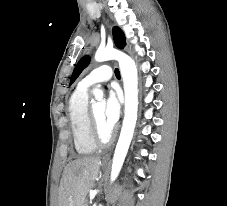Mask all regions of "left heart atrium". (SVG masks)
Returning a JSON list of instances; mask_svg holds the SVG:
<instances>
[{"mask_svg":"<svg viewBox=\"0 0 227 206\" xmlns=\"http://www.w3.org/2000/svg\"><path fill=\"white\" fill-rule=\"evenodd\" d=\"M121 112V97L117 91H111L104 107V121L112 131L119 120Z\"/></svg>","mask_w":227,"mask_h":206,"instance_id":"39dd6f15","label":"left heart atrium"}]
</instances>
